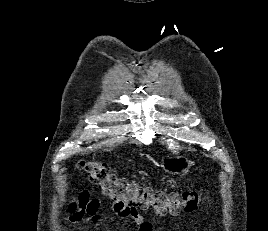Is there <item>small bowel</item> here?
<instances>
[{"instance_id":"small-bowel-1","label":"small bowel","mask_w":268,"mask_h":231,"mask_svg":"<svg viewBox=\"0 0 268 231\" xmlns=\"http://www.w3.org/2000/svg\"><path fill=\"white\" fill-rule=\"evenodd\" d=\"M99 206L100 200L84 191L77 197V202H73L68 206L64 221L67 224L91 223L103 225L105 224V219L98 212ZM113 208L118 215L133 218L138 226V231L153 230L152 223L141 216L136 208H120L118 204H114Z\"/></svg>"}]
</instances>
